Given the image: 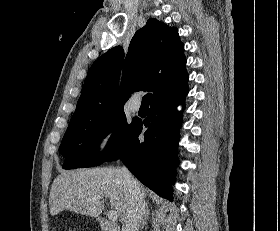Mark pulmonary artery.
Instances as JSON below:
<instances>
[{"instance_id":"obj_1","label":"pulmonary artery","mask_w":280,"mask_h":231,"mask_svg":"<svg viewBox=\"0 0 280 231\" xmlns=\"http://www.w3.org/2000/svg\"><path fill=\"white\" fill-rule=\"evenodd\" d=\"M130 109L133 112H137L140 109V103L133 101L132 99L129 101Z\"/></svg>"}]
</instances>
